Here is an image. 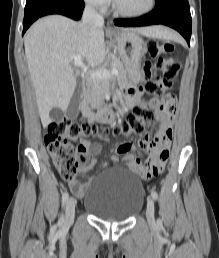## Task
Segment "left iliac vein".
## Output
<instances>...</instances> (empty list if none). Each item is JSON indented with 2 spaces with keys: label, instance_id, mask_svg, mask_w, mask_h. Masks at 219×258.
I'll list each match as a JSON object with an SVG mask.
<instances>
[{
  "label": "left iliac vein",
  "instance_id": "left-iliac-vein-1",
  "mask_svg": "<svg viewBox=\"0 0 219 258\" xmlns=\"http://www.w3.org/2000/svg\"><path fill=\"white\" fill-rule=\"evenodd\" d=\"M146 217H147L148 223L150 225H153L155 223L154 202H153L152 198H150V197H148V199H147Z\"/></svg>",
  "mask_w": 219,
  "mask_h": 258
}]
</instances>
